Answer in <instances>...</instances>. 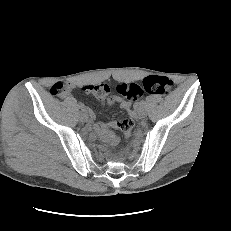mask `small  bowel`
I'll return each instance as SVG.
<instances>
[{
    "instance_id": "small-bowel-1",
    "label": "small bowel",
    "mask_w": 231,
    "mask_h": 231,
    "mask_svg": "<svg viewBox=\"0 0 231 231\" xmlns=\"http://www.w3.org/2000/svg\"><path fill=\"white\" fill-rule=\"evenodd\" d=\"M102 85L107 84H99V85H85L83 86V90L88 93L95 94L97 96H104L103 95V88ZM108 104L112 105L114 103H119L121 109L128 111L132 116H136L135 110L131 108V103L126 100H122L119 98H109L107 100ZM95 130L99 134L100 138L111 145H116L119 141L118 137L113 133V129L117 128L116 122H108L104 124L95 123L94 125Z\"/></svg>"
}]
</instances>
